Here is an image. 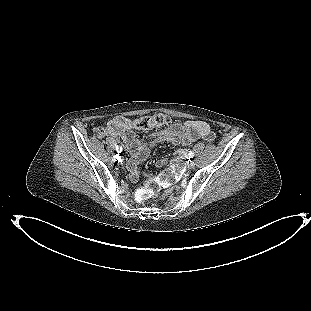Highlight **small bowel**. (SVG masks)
<instances>
[{"mask_svg":"<svg viewBox=\"0 0 311 311\" xmlns=\"http://www.w3.org/2000/svg\"><path fill=\"white\" fill-rule=\"evenodd\" d=\"M114 121L117 122L118 129L110 132V134L120 139L128 149L131 159L127 162V168L133 181L140 177L139 164L149 156L151 149L157 144L167 142L174 145H187L198 139L208 141L213 139V133L208 123L200 120H189L183 124L174 123L164 129L152 132L149 134V141L142 143L134 133L135 121L120 116L112 118L108 125ZM165 163V159L157 161L158 166Z\"/></svg>","mask_w":311,"mask_h":311,"instance_id":"obj_1","label":"small bowel"}]
</instances>
